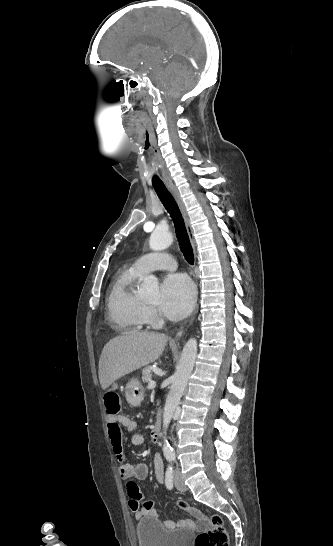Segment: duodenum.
Segmentation results:
<instances>
[{
  "instance_id": "410a0bca",
  "label": "duodenum",
  "mask_w": 333,
  "mask_h": 546,
  "mask_svg": "<svg viewBox=\"0 0 333 546\" xmlns=\"http://www.w3.org/2000/svg\"><path fill=\"white\" fill-rule=\"evenodd\" d=\"M160 428H161V425H160V422L157 421L153 428H152V431H151V438L154 442H157L160 438Z\"/></svg>"
}]
</instances>
